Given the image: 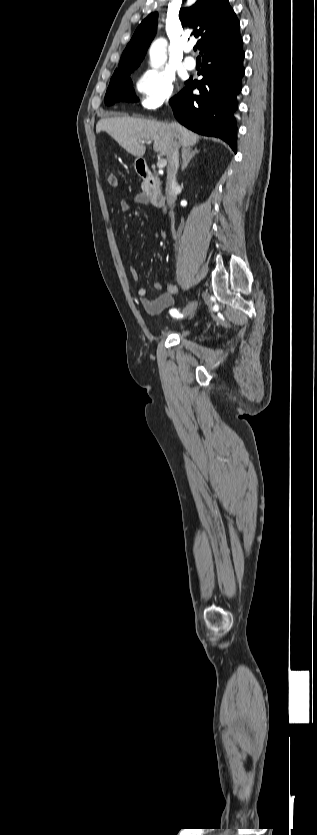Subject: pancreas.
<instances>
[{
	"instance_id": "cf45deb5",
	"label": "pancreas",
	"mask_w": 317,
	"mask_h": 835,
	"mask_svg": "<svg viewBox=\"0 0 317 835\" xmlns=\"http://www.w3.org/2000/svg\"><path fill=\"white\" fill-rule=\"evenodd\" d=\"M142 190H143V192H144V193H146V194H148V195H149L150 187H149V184H148L147 182H144V183H143V185H142ZM150 198H151V199H153V197L151 196V194H150Z\"/></svg>"
}]
</instances>
